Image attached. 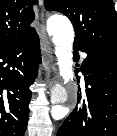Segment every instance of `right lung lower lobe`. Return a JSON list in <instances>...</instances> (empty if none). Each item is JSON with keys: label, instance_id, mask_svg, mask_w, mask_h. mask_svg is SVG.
Segmentation results:
<instances>
[{"label": "right lung lower lobe", "instance_id": "right-lung-lower-lobe-1", "mask_svg": "<svg viewBox=\"0 0 117 136\" xmlns=\"http://www.w3.org/2000/svg\"><path fill=\"white\" fill-rule=\"evenodd\" d=\"M40 62L36 31L0 49V136H24L31 100L29 86Z\"/></svg>", "mask_w": 117, "mask_h": 136}]
</instances>
